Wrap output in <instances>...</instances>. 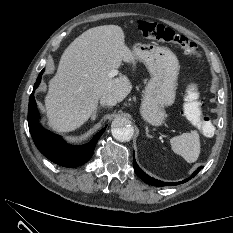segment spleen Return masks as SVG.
Wrapping results in <instances>:
<instances>
[{
    "instance_id": "1",
    "label": "spleen",
    "mask_w": 233,
    "mask_h": 233,
    "mask_svg": "<svg viewBox=\"0 0 233 233\" xmlns=\"http://www.w3.org/2000/svg\"><path fill=\"white\" fill-rule=\"evenodd\" d=\"M171 148L174 153L180 155L188 163L197 161L200 154V138L197 131L183 133L170 140Z\"/></svg>"
}]
</instances>
